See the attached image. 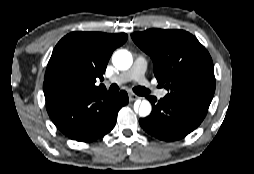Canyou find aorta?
<instances>
[{"label":"aorta","mask_w":254,"mask_h":174,"mask_svg":"<svg viewBox=\"0 0 254 174\" xmlns=\"http://www.w3.org/2000/svg\"><path fill=\"white\" fill-rule=\"evenodd\" d=\"M113 65L119 70H127L133 63L132 55L127 50H118L112 57ZM151 104L147 100H142L138 107L140 117H147L151 113Z\"/></svg>","instance_id":"762f6f07"}]
</instances>
